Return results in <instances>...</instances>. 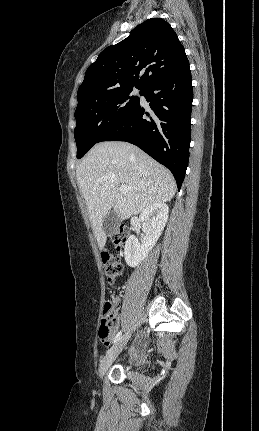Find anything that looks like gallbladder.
Listing matches in <instances>:
<instances>
[{
  "instance_id": "gallbladder-1",
  "label": "gallbladder",
  "mask_w": 259,
  "mask_h": 431,
  "mask_svg": "<svg viewBox=\"0 0 259 431\" xmlns=\"http://www.w3.org/2000/svg\"><path fill=\"white\" fill-rule=\"evenodd\" d=\"M120 222H121V218L118 215V213L115 212L114 210H111L103 222V230L106 233V235L108 236L112 235L118 228Z\"/></svg>"
}]
</instances>
